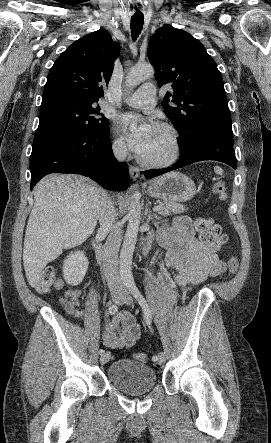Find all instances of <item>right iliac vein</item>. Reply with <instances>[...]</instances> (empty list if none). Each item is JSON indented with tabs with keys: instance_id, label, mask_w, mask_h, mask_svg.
I'll list each match as a JSON object with an SVG mask.
<instances>
[{
	"instance_id": "63e3f726",
	"label": "right iliac vein",
	"mask_w": 271,
	"mask_h": 443,
	"mask_svg": "<svg viewBox=\"0 0 271 443\" xmlns=\"http://www.w3.org/2000/svg\"><path fill=\"white\" fill-rule=\"evenodd\" d=\"M122 299H123V295H121V294H113L112 295V301L116 304L120 303L122 301ZM110 357H111L110 352H105L103 355H101L100 362L102 364H105L109 361Z\"/></svg>"
}]
</instances>
